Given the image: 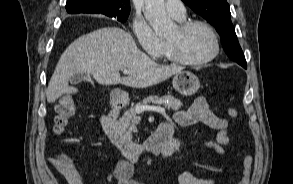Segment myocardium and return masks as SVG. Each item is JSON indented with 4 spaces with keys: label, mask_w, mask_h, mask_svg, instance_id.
Returning <instances> with one entry per match:
<instances>
[{
    "label": "myocardium",
    "mask_w": 293,
    "mask_h": 184,
    "mask_svg": "<svg viewBox=\"0 0 293 184\" xmlns=\"http://www.w3.org/2000/svg\"><path fill=\"white\" fill-rule=\"evenodd\" d=\"M196 26H201L204 27L205 29H207L209 31V33L211 34L212 38H213V42H214V49L211 52L210 55L202 58V59H198V60H192V59H188L185 56L182 55V53L179 50L178 45L173 42L168 40L167 44H168V49H169V54L170 57L173 61L183 64V65H189V66H200L203 64H206L210 61H212L213 59H215L219 52H220V39L219 36L216 32V30L214 29V27L209 24L206 21L203 20H188V21H184L178 24L177 29L179 31L180 34H184L187 31H189L191 28L196 27Z\"/></svg>",
    "instance_id": "myocardium-1"
}]
</instances>
